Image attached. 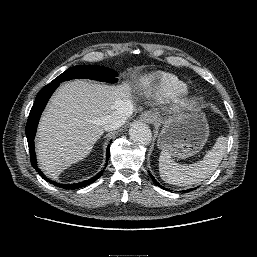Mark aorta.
<instances>
[{"instance_id":"obj_1","label":"aorta","mask_w":257,"mask_h":257,"mask_svg":"<svg viewBox=\"0 0 257 257\" xmlns=\"http://www.w3.org/2000/svg\"><path fill=\"white\" fill-rule=\"evenodd\" d=\"M129 135L133 142L141 145H148L152 139L149 126L139 121H135L131 124Z\"/></svg>"}]
</instances>
